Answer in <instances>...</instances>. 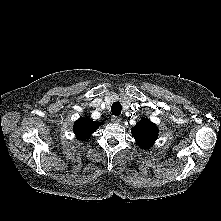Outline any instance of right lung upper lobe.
<instances>
[{"label": "right lung upper lobe", "mask_w": 221, "mask_h": 221, "mask_svg": "<svg viewBox=\"0 0 221 221\" xmlns=\"http://www.w3.org/2000/svg\"><path fill=\"white\" fill-rule=\"evenodd\" d=\"M101 123L89 118H80L74 124V133L79 140H86L100 126Z\"/></svg>", "instance_id": "cb5924a9"}]
</instances>
